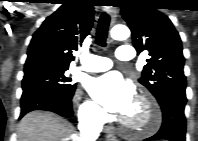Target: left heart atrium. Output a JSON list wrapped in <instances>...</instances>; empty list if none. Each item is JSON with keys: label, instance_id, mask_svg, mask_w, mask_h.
<instances>
[{"label": "left heart atrium", "instance_id": "left-heart-atrium-1", "mask_svg": "<svg viewBox=\"0 0 198 141\" xmlns=\"http://www.w3.org/2000/svg\"><path fill=\"white\" fill-rule=\"evenodd\" d=\"M90 95L107 111L126 115L135 104L133 86L117 72L93 78L89 85Z\"/></svg>", "mask_w": 198, "mask_h": 141}]
</instances>
